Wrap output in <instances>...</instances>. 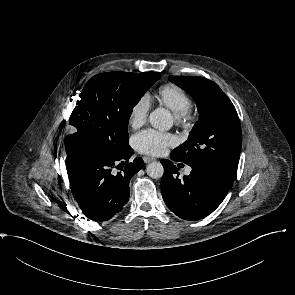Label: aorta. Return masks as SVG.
Returning a JSON list of instances; mask_svg holds the SVG:
<instances>
[{
    "label": "aorta",
    "instance_id": "762f6f07",
    "mask_svg": "<svg viewBox=\"0 0 295 295\" xmlns=\"http://www.w3.org/2000/svg\"><path fill=\"white\" fill-rule=\"evenodd\" d=\"M149 122L152 127L159 130H168L172 127V118L168 110L157 108L149 115ZM147 175L153 179H159L163 176L164 168L160 162H152L146 167Z\"/></svg>",
    "mask_w": 295,
    "mask_h": 295
}]
</instances>
